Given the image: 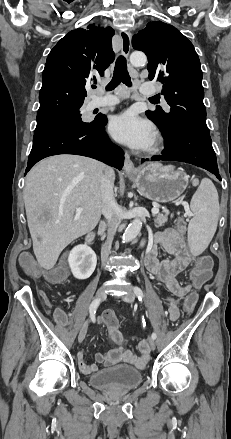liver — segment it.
I'll return each instance as SVG.
<instances>
[{
  "label": "liver",
  "mask_w": 231,
  "mask_h": 439,
  "mask_svg": "<svg viewBox=\"0 0 231 439\" xmlns=\"http://www.w3.org/2000/svg\"><path fill=\"white\" fill-rule=\"evenodd\" d=\"M106 166L79 155L61 154L37 163L27 174L24 202L33 251L50 270L62 250L89 233L101 218L100 177ZM114 183L115 172L110 168ZM78 207L83 208L76 214Z\"/></svg>",
  "instance_id": "1"
}]
</instances>
